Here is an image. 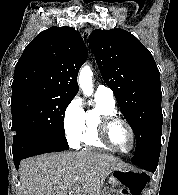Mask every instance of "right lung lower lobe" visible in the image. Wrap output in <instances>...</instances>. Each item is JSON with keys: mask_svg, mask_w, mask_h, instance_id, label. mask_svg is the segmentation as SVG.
<instances>
[{"mask_svg": "<svg viewBox=\"0 0 178 195\" xmlns=\"http://www.w3.org/2000/svg\"><path fill=\"white\" fill-rule=\"evenodd\" d=\"M69 148L67 140L57 135L19 136L13 139V160L16 169L22 159Z\"/></svg>", "mask_w": 178, "mask_h": 195, "instance_id": "1", "label": "right lung lower lobe"}]
</instances>
